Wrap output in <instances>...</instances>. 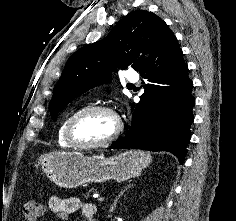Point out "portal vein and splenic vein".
<instances>
[{"instance_id": "18ae733b", "label": "portal vein and splenic vein", "mask_w": 236, "mask_h": 221, "mask_svg": "<svg viewBox=\"0 0 236 221\" xmlns=\"http://www.w3.org/2000/svg\"><path fill=\"white\" fill-rule=\"evenodd\" d=\"M97 200H98L99 202H102V201H104V198H103V197H98Z\"/></svg>"}]
</instances>
